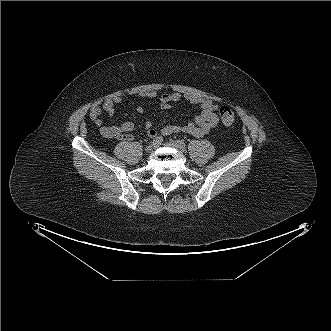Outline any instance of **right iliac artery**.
<instances>
[{
    "label": "right iliac artery",
    "instance_id": "obj_1",
    "mask_svg": "<svg viewBox=\"0 0 331 331\" xmlns=\"http://www.w3.org/2000/svg\"><path fill=\"white\" fill-rule=\"evenodd\" d=\"M162 141H163V138L162 137H156V138H154L152 141H151V144H153V145H160L161 143H162Z\"/></svg>",
    "mask_w": 331,
    "mask_h": 331
}]
</instances>
